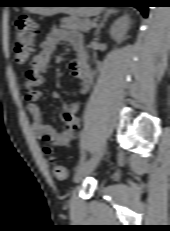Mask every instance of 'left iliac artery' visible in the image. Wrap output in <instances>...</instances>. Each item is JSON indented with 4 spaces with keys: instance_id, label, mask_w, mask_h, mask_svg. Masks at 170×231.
I'll use <instances>...</instances> for the list:
<instances>
[{
    "instance_id": "44dca946",
    "label": "left iliac artery",
    "mask_w": 170,
    "mask_h": 231,
    "mask_svg": "<svg viewBox=\"0 0 170 231\" xmlns=\"http://www.w3.org/2000/svg\"><path fill=\"white\" fill-rule=\"evenodd\" d=\"M83 139H84V132L81 133V140L83 142ZM86 162V154L85 152L82 150V156L79 160V163H78V167L83 165L84 163Z\"/></svg>"
}]
</instances>
